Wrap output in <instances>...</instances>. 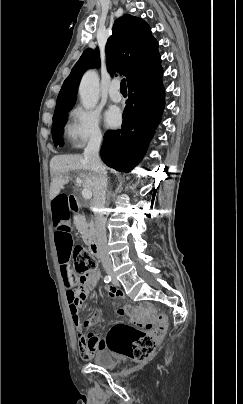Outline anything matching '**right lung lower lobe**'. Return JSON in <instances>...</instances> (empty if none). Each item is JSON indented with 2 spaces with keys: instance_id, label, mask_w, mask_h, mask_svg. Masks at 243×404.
<instances>
[{
  "instance_id": "right-lung-lower-lobe-1",
  "label": "right lung lower lobe",
  "mask_w": 243,
  "mask_h": 404,
  "mask_svg": "<svg viewBox=\"0 0 243 404\" xmlns=\"http://www.w3.org/2000/svg\"><path fill=\"white\" fill-rule=\"evenodd\" d=\"M129 98L122 128L107 131L101 147L105 164L120 172H130L143 158L160 122L165 105L162 67L128 85Z\"/></svg>"
}]
</instances>
